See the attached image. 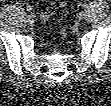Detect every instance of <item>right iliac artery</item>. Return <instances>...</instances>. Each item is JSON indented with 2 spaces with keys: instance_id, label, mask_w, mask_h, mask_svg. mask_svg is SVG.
I'll return each mask as SVG.
<instances>
[{
  "instance_id": "1",
  "label": "right iliac artery",
  "mask_w": 111,
  "mask_h": 106,
  "mask_svg": "<svg viewBox=\"0 0 111 106\" xmlns=\"http://www.w3.org/2000/svg\"><path fill=\"white\" fill-rule=\"evenodd\" d=\"M27 11L31 13L33 11L32 7H28Z\"/></svg>"
}]
</instances>
